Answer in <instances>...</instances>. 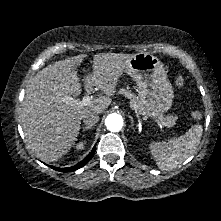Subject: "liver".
<instances>
[{"label":"liver","mask_w":221,"mask_h":221,"mask_svg":"<svg viewBox=\"0 0 221 221\" xmlns=\"http://www.w3.org/2000/svg\"><path fill=\"white\" fill-rule=\"evenodd\" d=\"M131 54L99 53L93 58V69L86 78L88 87L100 88L106 97L77 107L65 102L76 98L82 88L76 73L85 55L54 62L39 71L30 81L21 108V125L28 147L37 158L57 161L77 140L83 115L101 113L111 103L119 77L125 71Z\"/></svg>","instance_id":"liver-1"}]
</instances>
